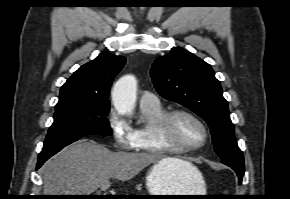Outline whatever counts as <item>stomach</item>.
<instances>
[{
	"label": "stomach",
	"instance_id": "stomach-1",
	"mask_svg": "<svg viewBox=\"0 0 290 199\" xmlns=\"http://www.w3.org/2000/svg\"><path fill=\"white\" fill-rule=\"evenodd\" d=\"M149 195H205L206 186L198 169L173 171L163 162H156L146 174ZM169 199H195L192 196L162 197Z\"/></svg>",
	"mask_w": 290,
	"mask_h": 199
}]
</instances>
